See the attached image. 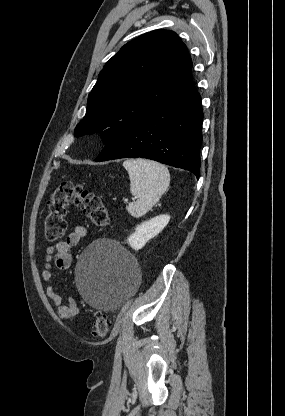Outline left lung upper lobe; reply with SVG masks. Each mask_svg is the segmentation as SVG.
Listing matches in <instances>:
<instances>
[{
	"mask_svg": "<svg viewBox=\"0 0 285 416\" xmlns=\"http://www.w3.org/2000/svg\"><path fill=\"white\" fill-rule=\"evenodd\" d=\"M186 45L173 31L155 30L125 44L104 66L74 135L100 133L107 144L192 81Z\"/></svg>",
	"mask_w": 285,
	"mask_h": 416,
	"instance_id": "1",
	"label": "left lung upper lobe"
}]
</instances>
